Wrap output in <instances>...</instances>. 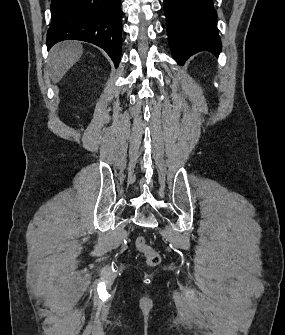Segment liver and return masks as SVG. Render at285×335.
Segmentation results:
<instances>
[{
	"mask_svg": "<svg viewBox=\"0 0 285 335\" xmlns=\"http://www.w3.org/2000/svg\"><path fill=\"white\" fill-rule=\"evenodd\" d=\"M82 54L83 48L79 42H61L50 50L47 68L53 84L60 82L66 72L80 60Z\"/></svg>",
	"mask_w": 285,
	"mask_h": 335,
	"instance_id": "6515ba94",
	"label": "liver"
}]
</instances>
